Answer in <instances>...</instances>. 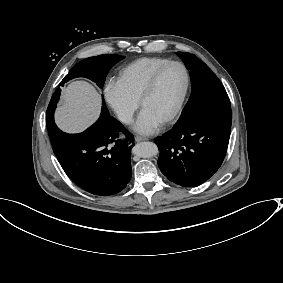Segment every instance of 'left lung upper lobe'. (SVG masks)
Listing matches in <instances>:
<instances>
[{"instance_id":"left-lung-upper-lobe-1","label":"left lung upper lobe","mask_w":283,"mask_h":283,"mask_svg":"<svg viewBox=\"0 0 283 283\" xmlns=\"http://www.w3.org/2000/svg\"><path fill=\"white\" fill-rule=\"evenodd\" d=\"M177 55L190 70L192 93L176 124H183L202 112L230 109L226 90L213 71L193 54L177 52Z\"/></svg>"}]
</instances>
